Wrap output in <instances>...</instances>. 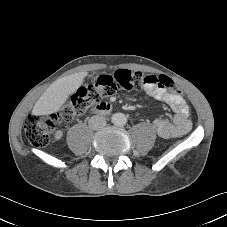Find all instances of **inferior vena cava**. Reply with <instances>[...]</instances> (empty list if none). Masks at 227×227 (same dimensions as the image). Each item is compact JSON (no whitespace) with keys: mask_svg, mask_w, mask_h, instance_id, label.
Returning <instances> with one entry per match:
<instances>
[{"mask_svg":"<svg viewBox=\"0 0 227 227\" xmlns=\"http://www.w3.org/2000/svg\"><path fill=\"white\" fill-rule=\"evenodd\" d=\"M88 124L91 129L97 130L106 126V119L102 116L95 115L89 119Z\"/></svg>","mask_w":227,"mask_h":227,"instance_id":"602c4592","label":"inferior vena cava"}]
</instances>
